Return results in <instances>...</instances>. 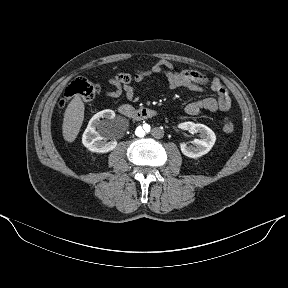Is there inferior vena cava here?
Returning a JSON list of instances; mask_svg holds the SVG:
<instances>
[{
    "label": "inferior vena cava",
    "mask_w": 288,
    "mask_h": 288,
    "mask_svg": "<svg viewBox=\"0 0 288 288\" xmlns=\"http://www.w3.org/2000/svg\"><path fill=\"white\" fill-rule=\"evenodd\" d=\"M151 136H152V138L155 139V140H160V139H162L163 136H164V130H163V128L160 127V126H155V127H153L152 130H151Z\"/></svg>",
    "instance_id": "1"
}]
</instances>
